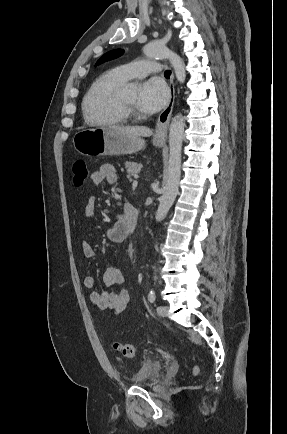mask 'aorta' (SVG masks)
I'll use <instances>...</instances> for the list:
<instances>
[{"label":"aorta","mask_w":287,"mask_h":434,"mask_svg":"<svg viewBox=\"0 0 287 434\" xmlns=\"http://www.w3.org/2000/svg\"><path fill=\"white\" fill-rule=\"evenodd\" d=\"M143 52L149 58L168 59L174 69L177 80L180 83L185 82L186 71L183 60L164 44L160 42L148 43L144 46ZM184 126V119L181 115H176L172 118L169 129V162L167 180L156 211L155 219L157 222L162 221L166 217L178 194L181 176V150Z\"/></svg>","instance_id":"obj_1"}]
</instances>
